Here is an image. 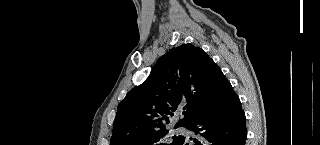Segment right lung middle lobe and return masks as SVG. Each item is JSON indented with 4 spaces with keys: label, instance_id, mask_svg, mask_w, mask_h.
I'll return each instance as SVG.
<instances>
[{
    "label": "right lung middle lobe",
    "instance_id": "right-lung-middle-lobe-1",
    "mask_svg": "<svg viewBox=\"0 0 320 145\" xmlns=\"http://www.w3.org/2000/svg\"><path fill=\"white\" fill-rule=\"evenodd\" d=\"M182 137L181 135L172 136L168 133V130L161 129L144 136L132 145H178Z\"/></svg>",
    "mask_w": 320,
    "mask_h": 145
}]
</instances>
